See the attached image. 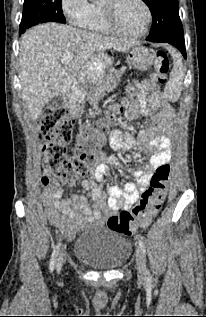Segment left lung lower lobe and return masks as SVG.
I'll return each mask as SVG.
<instances>
[{
	"instance_id": "obj_1",
	"label": "left lung lower lobe",
	"mask_w": 206,
	"mask_h": 317,
	"mask_svg": "<svg viewBox=\"0 0 206 317\" xmlns=\"http://www.w3.org/2000/svg\"><path fill=\"white\" fill-rule=\"evenodd\" d=\"M163 43H169L173 46H175L184 56V58H186V50H185V42L184 40H165L162 41Z\"/></svg>"
}]
</instances>
